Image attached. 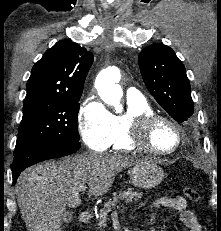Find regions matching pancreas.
<instances>
[{
	"instance_id": "pancreas-1",
	"label": "pancreas",
	"mask_w": 221,
	"mask_h": 231,
	"mask_svg": "<svg viewBox=\"0 0 221 231\" xmlns=\"http://www.w3.org/2000/svg\"><path fill=\"white\" fill-rule=\"evenodd\" d=\"M142 198V193L137 191H132V188L128 190L119 191L118 193H114L113 198L110 199L104 207L100 210V220L98 226L106 227V222L108 220V214L117 206L118 203L124 201L126 203H131L133 200L138 201Z\"/></svg>"
}]
</instances>
